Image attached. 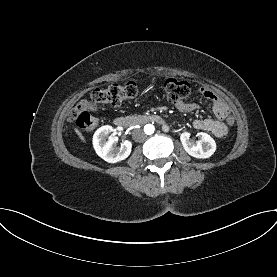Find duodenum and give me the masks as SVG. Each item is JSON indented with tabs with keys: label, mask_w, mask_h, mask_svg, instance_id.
I'll return each instance as SVG.
<instances>
[{
	"label": "duodenum",
	"mask_w": 277,
	"mask_h": 277,
	"mask_svg": "<svg viewBox=\"0 0 277 277\" xmlns=\"http://www.w3.org/2000/svg\"><path fill=\"white\" fill-rule=\"evenodd\" d=\"M113 122L117 127L121 128H127L139 124L155 122L161 124L165 131L169 130V126L163 121V119L160 116L154 114L139 115L135 117L120 116L116 117Z\"/></svg>",
	"instance_id": "obj_1"
}]
</instances>
